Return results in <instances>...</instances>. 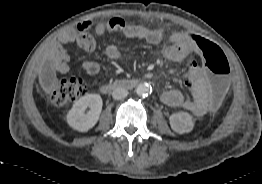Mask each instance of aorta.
<instances>
[{
	"label": "aorta",
	"mask_w": 262,
	"mask_h": 184,
	"mask_svg": "<svg viewBox=\"0 0 262 184\" xmlns=\"http://www.w3.org/2000/svg\"><path fill=\"white\" fill-rule=\"evenodd\" d=\"M135 91L139 96H147L150 93V87L146 83H141L136 87Z\"/></svg>",
	"instance_id": "1"
}]
</instances>
